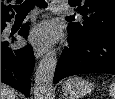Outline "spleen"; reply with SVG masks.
Segmentation results:
<instances>
[{
  "mask_svg": "<svg viewBox=\"0 0 115 99\" xmlns=\"http://www.w3.org/2000/svg\"><path fill=\"white\" fill-rule=\"evenodd\" d=\"M110 96L115 99V83L111 84L110 86Z\"/></svg>",
  "mask_w": 115,
  "mask_h": 99,
  "instance_id": "3e777b00",
  "label": "spleen"
}]
</instances>
